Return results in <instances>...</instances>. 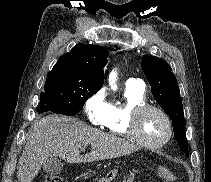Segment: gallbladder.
Returning <instances> with one entry per match:
<instances>
[{"mask_svg": "<svg viewBox=\"0 0 211 182\" xmlns=\"http://www.w3.org/2000/svg\"><path fill=\"white\" fill-rule=\"evenodd\" d=\"M63 165L58 157H52L45 161L43 169L51 175H57L62 171Z\"/></svg>", "mask_w": 211, "mask_h": 182, "instance_id": "1", "label": "gallbladder"}]
</instances>
